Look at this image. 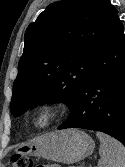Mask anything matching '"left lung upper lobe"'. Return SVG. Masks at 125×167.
Wrapping results in <instances>:
<instances>
[{
    "label": "left lung upper lobe",
    "instance_id": "obj_1",
    "mask_svg": "<svg viewBox=\"0 0 125 167\" xmlns=\"http://www.w3.org/2000/svg\"><path fill=\"white\" fill-rule=\"evenodd\" d=\"M117 16L110 0L50 4L26 30L11 114L18 117L39 102H62L70 108Z\"/></svg>",
    "mask_w": 125,
    "mask_h": 167
}]
</instances>
